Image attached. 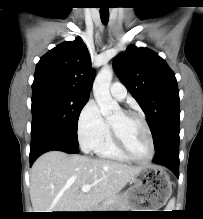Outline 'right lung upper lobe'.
<instances>
[{"label": "right lung upper lobe", "mask_w": 203, "mask_h": 219, "mask_svg": "<svg viewBox=\"0 0 203 219\" xmlns=\"http://www.w3.org/2000/svg\"><path fill=\"white\" fill-rule=\"evenodd\" d=\"M94 71L88 49L81 38L64 42L44 55L36 66V86H54L89 97Z\"/></svg>", "instance_id": "right-lung-upper-lobe-1"}]
</instances>
